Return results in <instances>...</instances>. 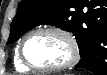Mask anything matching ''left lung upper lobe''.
Wrapping results in <instances>:
<instances>
[{"mask_svg":"<svg viewBox=\"0 0 107 75\" xmlns=\"http://www.w3.org/2000/svg\"><path fill=\"white\" fill-rule=\"evenodd\" d=\"M84 3L85 0H22L11 24L8 43L37 25L51 24L73 33L81 55L86 32L91 31L101 41L107 40V16L100 18L90 9L83 11Z\"/></svg>","mask_w":107,"mask_h":75,"instance_id":"obj_1","label":"left lung upper lobe"}]
</instances>
